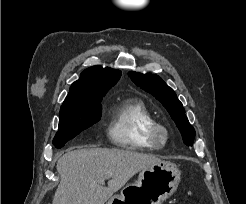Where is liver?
<instances>
[{"label":"liver","instance_id":"6515ba94","mask_svg":"<svg viewBox=\"0 0 246 204\" xmlns=\"http://www.w3.org/2000/svg\"><path fill=\"white\" fill-rule=\"evenodd\" d=\"M160 162L154 155L123 149L68 151L57 162L61 181L52 204H105L136 173Z\"/></svg>","mask_w":246,"mask_h":204}]
</instances>
